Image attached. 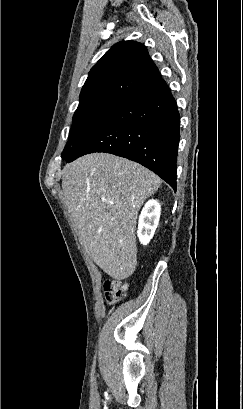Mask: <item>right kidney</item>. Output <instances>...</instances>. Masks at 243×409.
<instances>
[{"instance_id":"obj_1","label":"right kidney","mask_w":243,"mask_h":409,"mask_svg":"<svg viewBox=\"0 0 243 409\" xmlns=\"http://www.w3.org/2000/svg\"><path fill=\"white\" fill-rule=\"evenodd\" d=\"M161 205L157 200H149L143 207L138 221L137 236L143 245L150 242L158 226Z\"/></svg>"}]
</instances>
